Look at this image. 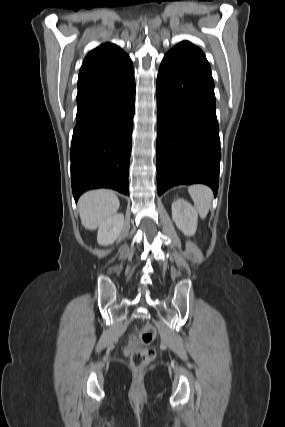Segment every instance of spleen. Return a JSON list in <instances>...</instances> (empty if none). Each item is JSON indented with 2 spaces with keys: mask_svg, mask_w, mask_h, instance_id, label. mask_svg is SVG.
I'll list each match as a JSON object with an SVG mask.
<instances>
[{
  "mask_svg": "<svg viewBox=\"0 0 285 427\" xmlns=\"http://www.w3.org/2000/svg\"><path fill=\"white\" fill-rule=\"evenodd\" d=\"M188 192L200 217L205 218L211 206L213 198L212 190L208 186L197 184L190 186Z\"/></svg>",
  "mask_w": 285,
  "mask_h": 427,
  "instance_id": "1",
  "label": "spleen"
}]
</instances>
